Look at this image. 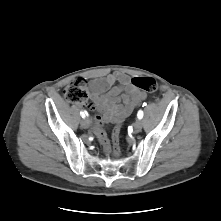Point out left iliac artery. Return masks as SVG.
Instances as JSON below:
<instances>
[{"mask_svg": "<svg viewBox=\"0 0 221 221\" xmlns=\"http://www.w3.org/2000/svg\"><path fill=\"white\" fill-rule=\"evenodd\" d=\"M137 116H138L139 119H142V117H143V111H141V110L138 111Z\"/></svg>", "mask_w": 221, "mask_h": 221, "instance_id": "44dca946", "label": "left iliac artery"}]
</instances>
